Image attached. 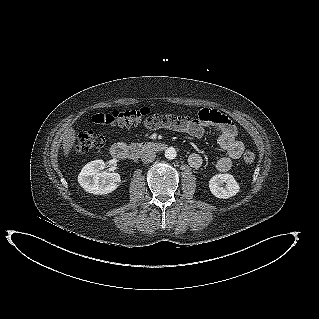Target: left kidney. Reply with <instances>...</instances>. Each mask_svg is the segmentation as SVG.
Instances as JSON below:
<instances>
[{
  "label": "left kidney",
  "mask_w": 319,
  "mask_h": 319,
  "mask_svg": "<svg viewBox=\"0 0 319 319\" xmlns=\"http://www.w3.org/2000/svg\"><path fill=\"white\" fill-rule=\"evenodd\" d=\"M226 184L222 187V184ZM211 193L220 199H227L239 192V185L231 174H217L209 181Z\"/></svg>",
  "instance_id": "left-kidney-1"
}]
</instances>
